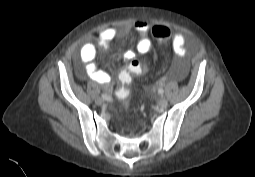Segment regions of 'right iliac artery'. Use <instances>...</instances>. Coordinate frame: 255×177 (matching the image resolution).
Wrapping results in <instances>:
<instances>
[{
	"instance_id": "obj_1",
	"label": "right iliac artery",
	"mask_w": 255,
	"mask_h": 177,
	"mask_svg": "<svg viewBox=\"0 0 255 177\" xmlns=\"http://www.w3.org/2000/svg\"><path fill=\"white\" fill-rule=\"evenodd\" d=\"M102 98L104 100H107V101H111L112 100V98L110 96L106 95V94H102Z\"/></svg>"
}]
</instances>
